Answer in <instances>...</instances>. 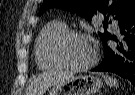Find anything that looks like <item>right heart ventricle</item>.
<instances>
[{
	"label": "right heart ventricle",
	"instance_id": "1",
	"mask_svg": "<svg viewBox=\"0 0 135 95\" xmlns=\"http://www.w3.org/2000/svg\"><path fill=\"white\" fill-rule=\"evenodd\" d=\"M65 31H67V26L60 21L49 22L40 31L34 50L36 63L40 69L54 70L62 68L52 55V45Z\"/></svg>",
	"mask_w": 135,
	"mask_h": 95
}]
</instances>
